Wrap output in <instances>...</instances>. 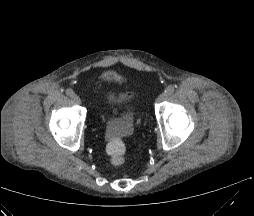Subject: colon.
Masks as SVG:
<instances>
[{
	"label": "colon",
	"instance_id": "5ec220e1",
	"mask_svg": "<svg viewBox=\"0 0 254 216\" xmlns=\"http://www.w3.org/2000/svg\"><path fill=\"white\" fill-rule=\"evenodd\" d=\"M134 92L128 91L124 93V97L131 100L134 97ZM106 152L111 164L118 166L124 162L126 145L122 137L118 133H113L107 143Z\"/></svg>",
	"mask_w": 254,
	"mask_h": 216
}]
</instances>
